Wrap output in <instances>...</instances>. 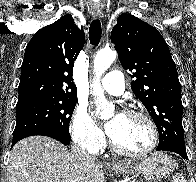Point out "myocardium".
<instances>
[{
    "instance_id": "myocardium-1",
    "label": "myocardium",
    "mask_w": 196,
    "mask_h": 182,
    "mask_svg": "<svg viewBox=\"0 0 196 182\" xmlns=\"http://www.w3.org/2000/svg\"><path fill=\"white\" fill-rule=\"evenodd\" d=\"M126 115L131 116V117H135V118H140L143 121H145V123L148 125L149 130H150V134H151V140L149 145L141 151H130V150H126L122 147H120L113 138H111L110 143H111V147L112 149L118 153L121 154L123 156H127V157H132V158H140V157H144L146 155H148L149 153H151L157 143H158V129L156 127V124L154 123V121L145 113L143 112H139V111H127Z\"/></svg>"
}]
</instances>
